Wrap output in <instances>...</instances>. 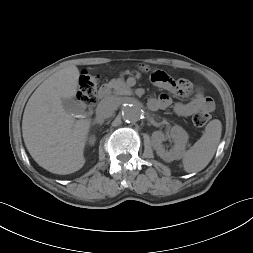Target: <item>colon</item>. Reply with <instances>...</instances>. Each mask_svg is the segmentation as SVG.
I'll return each instance as SVG.
<instances>
[{"mask_svg": "<svg viewBox=\"0 0 253 253\" xmlns=\"http://www.w3.org/2000/svg\"><path fill=\"white\" fill-rule=\"evenodd\" d=\"M141 71L144 73H150L152 78H159L161 71H151V69L143 65L141 66ZM96 94H97V78L84 71L79 79V92H78V100L85 106H91L96 102ZM210 120L209 112H198L193 118V124L197 127L205 126Z\"/></svg>", "mask_w": 253, "mask_h": 253, "instance_id": "5ec220e1", "label": "colon"}]
</instances>
